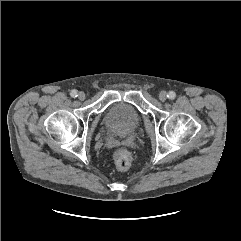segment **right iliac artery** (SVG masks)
Masks as SVG:
<instances>
[{"label": "right iliac artery", "instance_id": "1", "mask_svg": "<svg viewBox=\"0 0 241 241\" xmlns=\"http://www.w3.org/2000/svg\"><path fill=\"white\" fill-rule=\"evenodd\" d=\"M70 95L73 97V98H75V97H77L78 95H77V90H72L71 91V93H70Z\"/></svg>", "mask_w": 241, "mask_h": 241}]
</instances>
